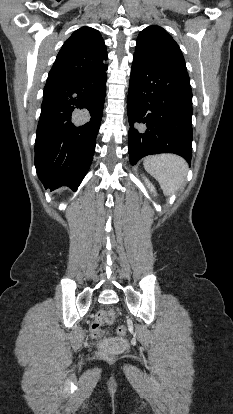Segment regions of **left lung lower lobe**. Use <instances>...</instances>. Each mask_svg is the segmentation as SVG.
Listing matches in <instances>:
<instances>
[{
    "label": "left lung lower lobe",
    "instance_id": "left-lung-lower-lobe-1",
    "mask_svg": "<svg viewBox=\"0 0 233 414\" xmlns=\"http://www.w3.org/2000/svg\"><path fill=\"white\" fill-rule=\"evenodd\" d=\"M129 158L175 153L192 157V91L187 72L133 56L127 101Z\"/></svg>",
    "mask_w": 233,
    "mask_h": 414
}]
</instances>
